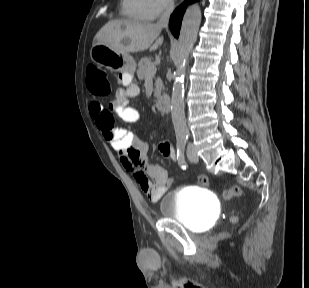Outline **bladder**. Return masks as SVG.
Returning a JSON list of instances; mask_svg holds the SVG:
<instances>
[{"mask_svg": "<svg viewBox=\"0 0 309 288\" xmlns=\"http://www.w3.org/2000/svg\"><path fill=\"white\" fill-rule=\"evenodd\" d=\"M217 206L209 191L196 186L165 192L159 201L161 218L177 219L194 231L208 229L215 222Z\"/></svg>", "mask_w": 309, "mask_h": 288, "instance_id": "1", "label": "bladder"}]
</instances>
